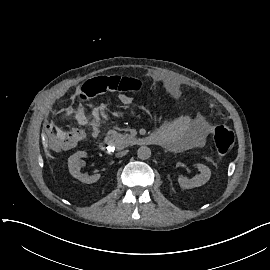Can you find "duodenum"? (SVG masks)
<instances>
[{
  "label": "duodenum",
  "instance_id": "410a0bca",
  "mask_svg": "<svg viewBox=\"0 0 270 270\" xmlns=\"http://www.w3.org/2000/svg\"><path fill=\"white\" fill-rule=\"evenodd\" d=\"M137 144H139V145H160L161 140L156 133H152V134L147 135L145 137L139 138L137 140ZM112 146L113 145H112L111 141L108 139L101 141L99 144L100 150L104 153H111Z\"/></svg>",
  "mask_w": 270,
  "mask_h": 270
}]
</instances>
